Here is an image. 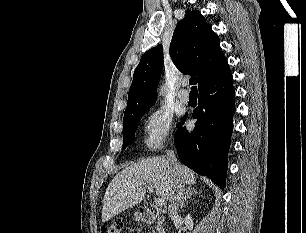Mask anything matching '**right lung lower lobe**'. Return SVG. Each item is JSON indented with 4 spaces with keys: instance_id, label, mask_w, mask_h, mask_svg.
Masks as SVG:
<instances>
[{
    "instance_id": "98d812e1",
    "label": "right lung lower lobe",
    "mask_w": 306,
    "mask_h": 233,
    "mask_svg": "<svg viewBox=\"0 0 306 233\" xmlns=\"http://www.w3.org/2000/svg\"><path fill=\"white\" fill-rule=\"evenodd\" d=\"M198 90V107L193 112V118L197 119L195 128L192 132L179 128L174 143L183 164L223 189L235 113L230 68L206 81Z\"/></svg>"
}]
</instances>
